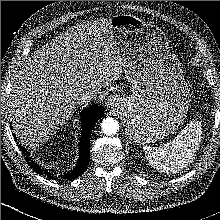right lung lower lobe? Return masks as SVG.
<instances>
[{"label": "right lung lower lobe", "mask_w": 220, "mask_h": 220, "mask_svg": "<svg viewBox=\"0 0 220 220\" xmlns=\"http://www.w3.org/2000/svg\"><path fill=\"white\" fill-rule=\"evenodd\" d=\"M104 115L103 110L100 106L96 104H92L89 107H87L81 116V127H82V133L80 138V157L78 159L77 165L75 168H73L68 173H65L61 178L64 179H73L78 176H80L85 169L87 168L89 164L90 159V136L91 131L95 125V123ZM15 137V134H13ZM19 147L22 150V154L24 155L28 165L34 169L35 172H37L40 175H45L49 177L50 179H53L55 177L51 176V174L46 170L43 169L39 164H37L33 158L29 155L27 149H25L21 144Z\"/></svg>", "instance_id": "98d812e1"}]
</instances>
